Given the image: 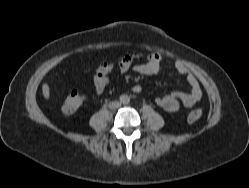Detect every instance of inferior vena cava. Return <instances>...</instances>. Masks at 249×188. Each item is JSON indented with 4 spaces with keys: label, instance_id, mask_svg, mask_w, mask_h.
Instances as JSON below:
<instances>
[{
    "label": "inferior vena cava",
    "instance_id": "1",
    "mask_svg": "<svg viewBox=\"0 0 249 188\" xmlns=\"http://www.w3.org/2000/svg\"><path fill=\"white\" fill-rule=\"evenodd\" d=\"M120 105H121V103H119V102H112V103H110V108H117Z\"/></svg>",
    "mask_w": 249,
    "mask_h": 188
}]
</instances>
